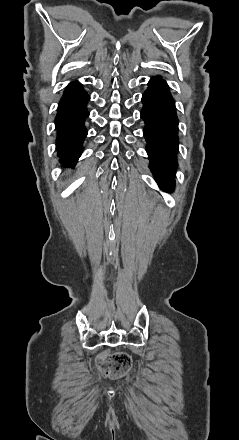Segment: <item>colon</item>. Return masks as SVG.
Listing matches in <instances>:
<instances>
[{
    "mask_svg": "<svg viewBox=\"0 0 239 440\" xmlns=\"http://www.w3.org/2000/svg\"><path fill=\"white\" fill-rule=\"evenodd\" d=\"M131 362V357L128 354L116 352L100 358L99 368L105 375L120 377L130 369Z\"/></svg>",
    "mask_w": 239,
    "mask_h": 440,
    "instance_id": "1",
    "label": "colon"
}]
</instances>
